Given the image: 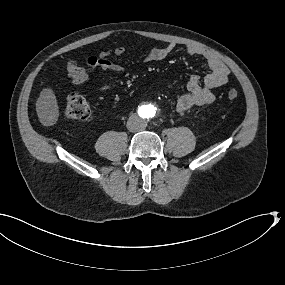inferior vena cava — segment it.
<instances>
[{"label": "inferior vena cava", "mask_w": 285, "mask_h": 285, "mask_svg": "<svg viewBox=\"0 0 285 285\" xmlns=\"http://www.w3.org/2000/svg\"><path fill=\"white\" fill-rule=\"evenodd\" d=\"M145 124L142 122V120L139 117L129 119L127 122V129L130 132H137L142 129H144Z\"/></svg>", "instance_id": "1"}]
</instances>
